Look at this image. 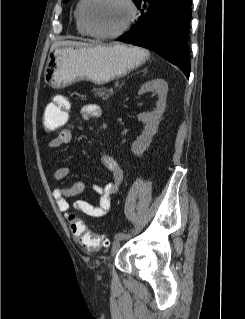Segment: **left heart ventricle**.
Returning a JSON list of instances; mask_svg holds the SVG:
<instances>
[{"label": "left heart ventricle", "instance_id": "1", "mask_svg": "<svg viewBox=\"0 0 245 319\" xmlns=\"http://www.w3.org/2000/svg\"><path fill=\"white\" fill-rule=\"evenodd\" d=\"M91 27L101 33L121 28L129 18V9L123 0H92L87 9Z\"/></svg>", "mask_w": 245, "mask_h": 319}]
</instances>
